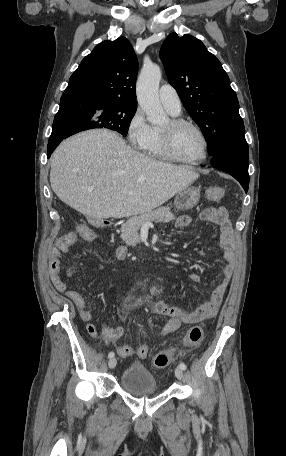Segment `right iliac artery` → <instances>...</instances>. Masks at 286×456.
I'll list each match as a JSON object with an SVG mask.
<instances>
[{
    "label": "right iliac artery",
    "instance_id": "82829eb1",
    "mask_svg": "<svg viewBox=\"0 0 286 456\" xmlns=\"http://www.w3.org/2000/svg\"><path fill=\"white\" fill-rule=\"evenodd\" d=\"M108 357L109 358H113L114 357V352H109Z\"/></svg>",
    "mask_w": 286,
    "mask_h": 456
}]
</instances>
